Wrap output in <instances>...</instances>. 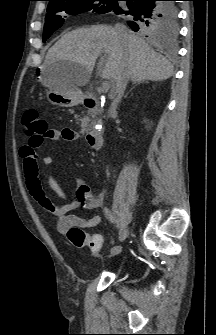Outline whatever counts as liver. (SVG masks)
I'll list each match as a JSON object with an SVG mask.
<instances>
[{"label": "liver", "mask_w": 216, "mask_h": 335, "mask_svg": "<svg viewBox=\"0 0 216 335\" xmlns=\"http://www.w3.org/2000/svg\"><path fill=\"white\" fill-rule=\"evenodd\" d=\"M101 53L104 56L98 65V74L111 80L112 93L116 92V82L124 72L134 82L163 81L173 75L171 63L142 38L129 32L119 37L115 28L107 25L66 33L48 50L43 67L51 68L62 62L79 65L66 70L67 81L78 89L88 84Z\"/></svg>", "instance_id": "obj_1"}]
</instances>
